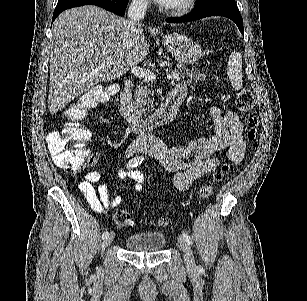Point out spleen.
Returning a JSON list of instances; mask_svg holds the SVG:
<instances>
[{
  "instance_id": "3e777b00",
  "label": "spleen",
  "mask_w": 307,
  "mask_h": 301,
  "mask_svg": "<svg viewBox=\"0 0 307 301\" xmlns=\"http://www.w3.org/2000/svg\"><path fill=\"white\" fill-rule=\"evenodd\" d=\"M227 74L233 88H235V90H240V88H242L243 76L241 52H237V50L231 52L228 58Z\"/></svg>"
}]
</instances>
